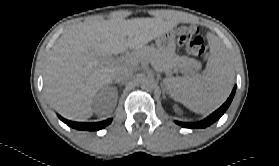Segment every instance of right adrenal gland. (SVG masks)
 <instances>
[{
    "label": "right adrenal gland",
    "mask_w": 279,
    "mask_h": 166,
    "mask_svg": "<svg viewBox=\"0 0 279 166\" xmlns=\"http://www.w3.org/2000/svg\"><path fill=\"white\" fill-rule=\"evenodd\" d=\"M114 83H118V82H114ZM119 84V86L121 87V86H123V84H124V82H121V83H118Z\"/></svg>",
    "instance_id": "2a0ac1e0"
}]
</instances>
